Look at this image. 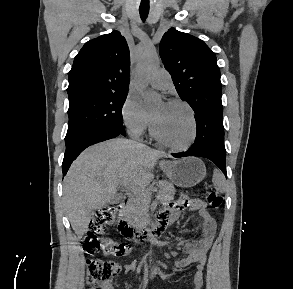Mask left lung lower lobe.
<instances>
[{"label":"left lung lower lobe","mask_w":293,"mask_h":289,"mask_svg":"<svg viewBox=\"0 0 293 289\" xmlns=\"http://www.w3.org/2000/svg\"><path fill=\"white\" fill-rule=\"evenodd\" d=\"M195 120L197 135L194 144L186 152L172 155L176 158L185 156L208 158L214 162L227 177L223 117L215 114H204L195 117Z\"/></svg>","instance_id":"obj_1"}]
</instances>
